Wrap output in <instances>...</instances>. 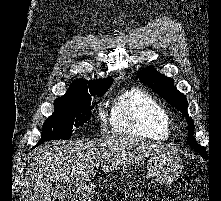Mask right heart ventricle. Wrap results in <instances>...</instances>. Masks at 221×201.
<instances>
[{"mask_svg":"<svg viewBox=\"0 0 221 201\" xmlns=\"http://www.w3.org/2000/svg\"><path fill=\"white\" fill-rule=\"evenodd\" d=\"M110 126L119 135L165 140L171 120L164 106L147 91L131 88L119 94L110 110Z\"/></svg>","mask_w":221,"mask_h":201,"instance_id":"1","label":"right heart ventricle"}]
</instances>
